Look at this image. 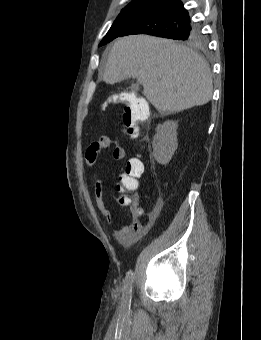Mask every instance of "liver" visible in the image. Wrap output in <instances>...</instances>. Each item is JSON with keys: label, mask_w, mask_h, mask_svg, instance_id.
Returning a JSON list of instances; mask_svg holds the SVG:
<instances>
[{"label": "liver", "mask_w": 261, "mask_h": 340, "mask_svg": "<svg viewBox=\"0 0 261 340\" xmlns=\"http://www.w3.org/2000/svg\"><path fill=\"white\" fill-rule=\"evenodd\" d=\"M136 78L160 113H175L208 103L213 84L206 61L170 39L148 35L119 38L113 44L103 80L115 84Z\"/></svg>", "instance_id": "obj_1"}]
</instances>
